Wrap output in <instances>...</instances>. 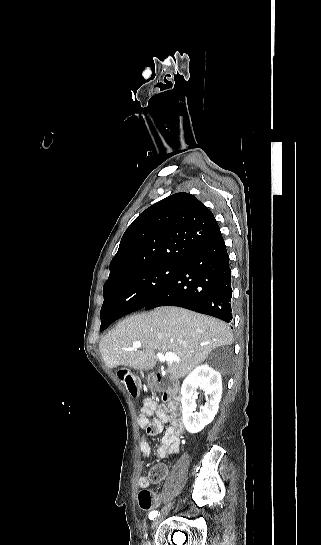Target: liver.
I'll list each match as a JSON object with an SVG mask.
<instances>
[{
    "instance_id": "6515ba94",
    "label": "liver",
    "mask_w": 321,
    "mask_h": 545,
    "mask_svg": "<svg viewBox=\"0 0 321 545\" xmlns=\"http://www.w3.org/2000/svg\"><path fill=\"white\" fill-rule=\"evenodd\" d=\"M134 341L142 343L139 351H125L132 349ZM232 343V331L223 321L179 307H158L118 323L101 339L99 349L109 369L123 365L138 371L155 367V351L174 353L180 363H170L167 373L172 379H181L199 367L213 349Z\"/></svg>"
}]
</instances>
